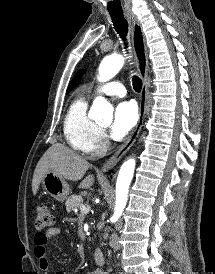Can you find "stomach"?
I'll return each mask as SVG.
<instances>
[{"label": "stomach", "instance_id": "stomach-1", "mask_svg": "<svg viewBox=\"0 0 215 274\" xmlns=\"http://www.w3.org/2000/svg\"><path fill=\"white\" fill-rule=\"evenodd\" d=\"M45 191L56 200L63 202L69 195L67 182L53 171H48L42 178Z\"/></svg>", "mask_w": 215, "mask_h": 274}]
</instances>
